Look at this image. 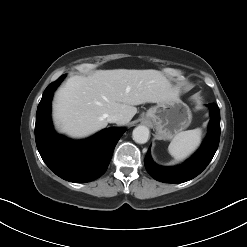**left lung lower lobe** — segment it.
<instances>
[{
    "instance_id": "1",
    "label": "left lung lower lobe",
    "mask_w": 247,
    "mask_h": 247,
    "mask_svg": "<svg viewBox=\"0 0 247 247\" xmlns=\"http://www.w3.org/2000/svg\"><path fill=\"white\" fill-rule=\"evenodd\" d=\"M211 120L206 140L200 149L183 165L162 167L155 164L150 156V149L145 156V168L157 181L164 183H183L199 175L212 160L220 139V111L214 103L208 105Z\"/></svg>"
}]
</instances>
